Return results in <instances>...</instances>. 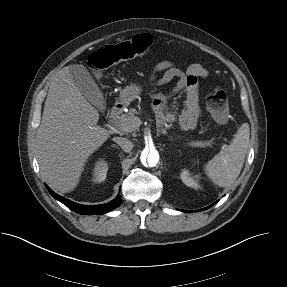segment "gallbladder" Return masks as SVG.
I'll use <instances>...</instances> for the list:
<instances>
[{
  "instance_id": "bac80fb5",
  "label": "gallbladder",
  "mask_w": 287,
  "mask_h": 287,
  "mask_svg": "<svg viewBox=\"0 0 287 287\" xmlns=\"http://www.w3.org/2000/svg\"><path fill=\"white\" fill-rule=\"evenodd\" d=\"M69 71L74 84L83 96L99 110H104L106 103L103 93L86 67L82 64H74L69 66Z\"/></svg>"
}]
</instances>
